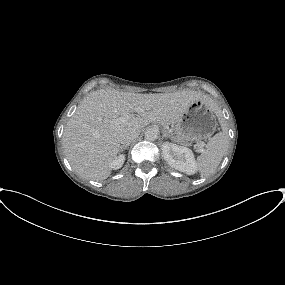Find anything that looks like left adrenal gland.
Masks as SVG:
<instances>
[{
    "label": "left adrenal gland",
    "mask_w": 285,
    "mask_h": 285,
    "mask_svg": "<svg viewBox=\"0 0 285 285\" xmlns=\"http://www.w3.org/2000/svg\"><path fill=\"white\" fill-rule=\"evenodd\" d=\"M163 137H169V135L167 133H164Z\"/></svg>",
    "instance_id": "left-adrenal-gland-1"
}]
</instances>
